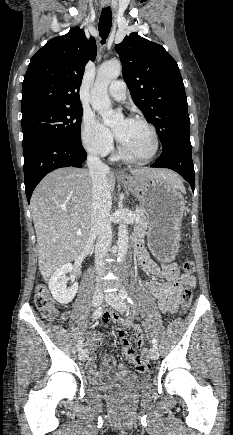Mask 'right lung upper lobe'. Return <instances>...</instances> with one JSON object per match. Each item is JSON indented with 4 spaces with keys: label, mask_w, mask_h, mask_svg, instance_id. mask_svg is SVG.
I'll list each match as a JSON object with an SVG mask.
<instances>
[{
    "label": "right lung upper lobe",
    "mask_w": 233,
    "mask_h": 435,
    "mask_svg": "<svg viewBox=\"0 0 233 435\" xmlns=\"http://www.w3.org/2000/svg\"><path fill=\"white\" fill-rule=\"evenodd\" d=\"M96 42L79 27L49 40L32 58L22 87V116L40 109L80 107L85 65L96 57Z\"/></svg>",
    "instance_id": "cb5924a9"
}]
</instances>
